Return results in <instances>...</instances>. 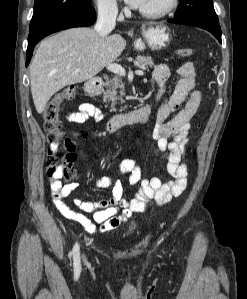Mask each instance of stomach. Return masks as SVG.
Wrapping results in <instances>:
<instances>
[{"label": "stomach", "instance_id": "stomach-1", "mask_svg": "<svg viewBox=\"0 0 247 299\" xmlns=\"http://www.w3.org/2000/svg\"><path fill=\"white\" fill-rule=\"evenodd\" d=\"M143 39L139 38L134 45L137 50L148 46L151 50L166 49L172 40L171 30L163 23H146L142 26Z\"/></svg>", "mask_w": 247, "mask_h": 299}]
</instances>
